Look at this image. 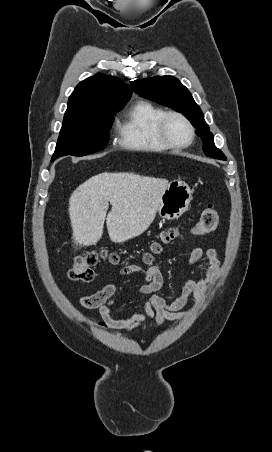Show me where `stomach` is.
Wrapping results in <instances>:
<instances>
[{"mask_svg":"<svg viewBox=\"0 0 272 452\" xmlns=\"http://www.w3.org/2000/svg\"><path fill=\"white\" fill-rule=\"evenodd\" d=\"M192 200V191L181 180L171 181L165 189L157 212L163 220H174L182 215Z\"/></svg>","mask_w":272,"mask_h":452,"instance_id":"stomach-1","label":"stomach"}]
</instances>
